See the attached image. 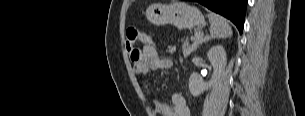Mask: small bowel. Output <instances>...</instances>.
Here are the masks:
<instances>
[{"label":"small bowel","mask_w":305,"mask_h":116,"mask_svg":"<svg viewBox=\"0 0 305 116\" xmlns=\"http://www.w3.org/2000/svg\"><path fill=\"white\" fill-rule=\"evenodd\" d=\"M133 71L137 75H145L150 70L168 69L173 66V62L166 58H161L155 45L149 40L144 43L141 50H138L136 58H131ZM147 92L149 91L146 87ZM153 111L161 116H191V110L186 99L179 93L171 96L170 102L151 99Z\"/></svg>","instance_id":"1"}]
</instances>
